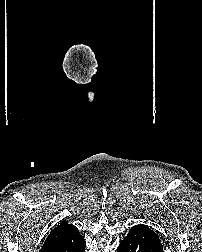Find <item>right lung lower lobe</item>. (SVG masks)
<instances>
[{
  "instance_id": "98d812e1",
  "label": "right lung lower lobe",
  "mask_w": 202,
  "mask_h": 252,
  "mask_svg": "<svg viewBox=\"0 0 202 252\" xmlns=\"http://www.w3.org/2000/svg\"><path fill=\"white\" fill-rule=\"evenodd\" d=\"M86 242L82 245V247L78 250V252H85Z\"/></svg>"
}]
</instances>
